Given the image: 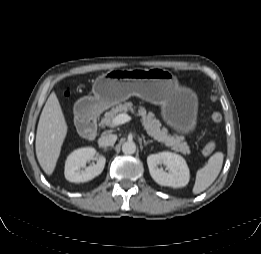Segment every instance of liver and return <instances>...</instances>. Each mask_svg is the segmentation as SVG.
I'll return each mask as SVG.
<instances>
[{"label": "liver", "mask_w": 261, "mask_h": 254, "mask_svg": "<svg viewBox=\"0 0 261 254\" xmlns=\"http://www.w3.org/2000/svg\"><path fill=\"white\" fill-rule=\"evenodd\" d=\"M68 126L55 92L48 97L40 115L36 133V156L47 175L56 167Z\"/></svg>", "instance_id": "6515ba94"}]
</instances>
